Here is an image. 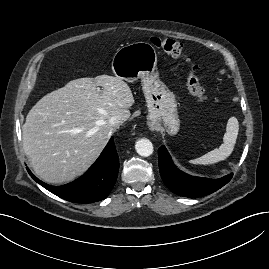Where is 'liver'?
Segmentation results:
<instances>
[{
    "mask_svg": "<svg viewBox=\"0 0 269 269\" xmlns=\"http://www.w3.org/2000/svg\"><path fill=\"white\" fill-rule=\"evenodd\" d=\"M133 104L127 83L105 74L72 80L42 97L22 127L23 148L36 175L62 184L83 174L116 129L109 119L121 116L125 122Z\"/></svg>",
    "mask_w": 269,
    "mask_h": 269,
    "instance_id": "1",
    "label": "liver"
}]
</instances>
